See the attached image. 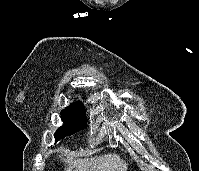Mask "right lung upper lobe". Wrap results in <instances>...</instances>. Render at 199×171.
I'll use <instances>...</instances> for the list:
<instances>
[{"label":"right lung upper lobe","mask_w":199,"mask_h":171,"mask_svg":"<svg viewBox=\"0 0 199 171\" xmlns=\"http://www.w3.org/2000/svg\"><path fill=\"white\" fill-rule=\"evenodd\" d=\"M70 105H78V106H80V105H83L81 102H74V103H71Z\"/></svg>","instance_id":"obj_1"}]
</instances>
